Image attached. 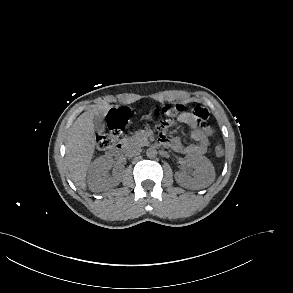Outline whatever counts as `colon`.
Wrapping results in <instances>:
<instances>
[{"mask_svg": "<svg viewBox=\"0 0 293 293\" xmlns=\"http://www.w3.org/2000/svg\"><path fill=\"white\" fill-rule=\"evenodd\" d=\"M185 111V106L180 103H170L157 109V112L165 117L158 130L160 138L168 139L167 130L171 126L172 119L178 117ZM193 114L204 123L208 116V110L203 106H196L192 110ZM128 119V111L125 108L112 110L107 114V129L98 134L97 143L100 149H108L115 145L120 137ZM214 152L217 156H222L224 149L220 144L215 145Z\"/></svg>", "mask_w": 293, "mask_h": 293, "instance_id": "obj_1", "label": "colon"}]
</instances>
